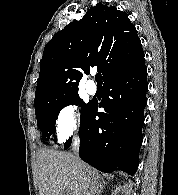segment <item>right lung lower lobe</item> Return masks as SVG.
<instances>
[{
    "label": "right lung lower lobe",
    "mask_w": 178,
    "mask_h": 195,
    "mask_svg": "<svg viewBox=\"0 0 178 195\" xmlns=\"http://www.w3.org/2000/svg\"><path fill=\"white\" fill-rule=\"evenodd\" d=\"M146 71L143 60L137 67L105 80L99 104L104 111L97 112L98 103H91L81 117L79 156L102 172L122 170L134 175L138 168L147 104ZM70 146L71 139L64 149Z\"/></svg>",
    "instance_id": "98d812e1"
}]
</instances>
